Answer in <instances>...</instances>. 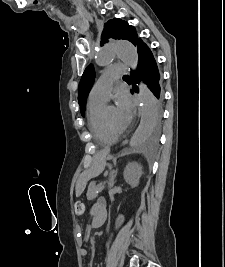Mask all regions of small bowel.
Listing matches in <instances>:
<instances>
[{
	"mask_svg": "<svg viewBox=\"0 0 225 267\" xmlns=\"http://www.w3.org/2000/svg\"><path fill=\"white\" fill-rule=\"evenodd\" d=\"M100 212H103V213L106 214V208H105V204L103 202H98L92 207L91 214L93 215V220ZM119 224H120V220L117 222L116 225L118 226ZM109 244H110V239L107 242V245H109ZM80 255L81 256H86L87 255V250L85 248H82L80 250Z\"/></svg>",
	"mask_w": 225,
	"mask_h": 267,
	"instance_id": "c3829d8e",
	"label": "small bowel"
}]
</instances>
